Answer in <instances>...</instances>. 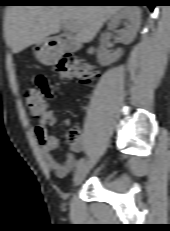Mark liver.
<instances>
[{
  "label": "liver",
  "instance_id": "obj_1",
  "mask_svg": "<svg viewBox=\"0 0 170 231\" xmlns=\"http://www.w3.org/2000/svg\"><path fill=\"white\" fill-rule=\"evenodd\" d=\"M117 5H21L7 9L5 36L13 53L57 34L62 24L70 23L76 40L88 43L102 25L123 9Z\"/></svg>",
  "mask_w": 170,
  "mask_h": 231
}]
</instances>
